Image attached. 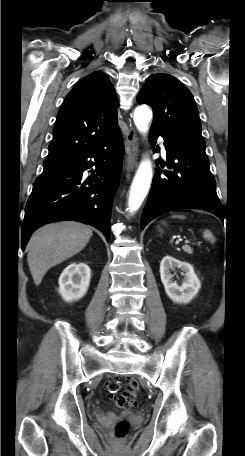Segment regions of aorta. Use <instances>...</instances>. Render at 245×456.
Here are the masks:
<instances>
[{
  "label": "aorta",
  "mask_w": 245,
  "mask_h": 456,
  "mask_svg": "<svg viewBox=\"0 0 245 456\" xmlns=\"http://www.w3.org/2000/svg\"><path fill=\"white\" fill-rule=\"evenodd\" d=\"M152 119V111L147 105H141L134 111V123L141 133H145ZM152 164L149 159L141 161L131 184L128 209L135 212L144 201L152 181Z\"/></svg>",
  "instance_id": "obj_1"
}]
</instances>
